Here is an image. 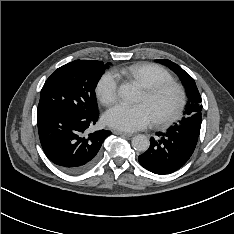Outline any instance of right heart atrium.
<instances>
[{
  "mask_svg": "<svg viewBox=\"0 0 234 234\" xmlns=\"http://www.w3.org/2000/svg\"><path fill=\"white\" fill-rule=\"evenodd\" d=\"M95 90L103 104L109 105L113 103L118 96V79L116 75L111 71L105 72L99 78Z\"/></svg>",
  "mask_w": 234,
  "mask_h": 234,
  "instance_id": "obj_1",
  "label": "right heart atrium"
}]
</instances>
